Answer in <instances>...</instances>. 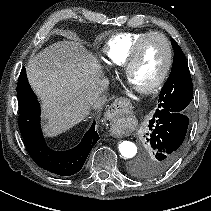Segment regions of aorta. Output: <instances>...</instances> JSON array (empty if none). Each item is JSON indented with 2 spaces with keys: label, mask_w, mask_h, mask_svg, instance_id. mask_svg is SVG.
<instances>
[{
  "label": "aorta",
  "mask_w": 211,
  "mask_h": 211,
  "mask_svg": "<svg viewBox=\"0 0 211 211\" xmlns=\"http://www.w3.org/2000/svg\"><path fill=\"white\" fill-rule=\"evenodd\" d=\"M120 154L127 159L133 158L137 154V147L133 142L122 141L118 145Z\"/></svg>",
  "instance_id": "aorta-1"
}]
</instances>
